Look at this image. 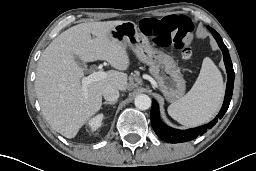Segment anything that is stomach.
<instances>
[{
	"label": "stomach",
	"mask_w": 256,
	"mask_h": 171,
	"mask_svg": "<svg viewBox=\"0 0 256 171\" xmlns=\"http://www.w3.org/2000/svg\"><path fill=\"white\" fill-rule=\"evenodd\" d=\"M109 36L125 46H129L140 61L149 66L157 87L169 102L179 100L185 93V80L177 68L174 59L161 50L153 48L137 24L123 21L116 25Z\"/></svg>",
	"instance_id": "0dacf381"
}]
</instances>
